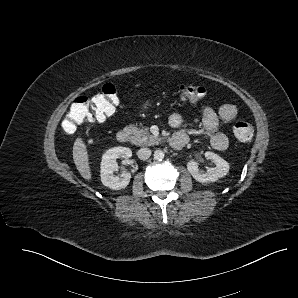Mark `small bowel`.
<instances>
[{
	"instance_id": "obj_1",
	"label": "small bowel",
	"mask_w": 298,
	"mask_h": 298,
	"mask_svg": "<svg viewBox=\"0 0 298 298\" xmlns=\"http://www.w3.org/2000/svg\"><path fill=\"white\" fill-rule=\"evenodd\" d=\"M203 116V129L207 137H209L211 146L218 150L224 151L229 147V138L222 132L218 131L222 122H231L237 116V109L232 104H224L218 110L209 106L201 108ZM169 124L174 128L182 125L183 119L179 113H172L169 116Z\"/></svg>"
}]
</instances>
